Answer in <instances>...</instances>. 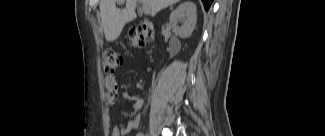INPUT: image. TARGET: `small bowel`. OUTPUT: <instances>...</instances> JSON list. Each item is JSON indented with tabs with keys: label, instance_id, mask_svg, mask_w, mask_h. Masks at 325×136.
<instances>
[{
	"label": "small bowel",
	"instance_id": "c3829d8e",
	"mask_svg": "<svg viewBox=\"0 0 325 136\" xmlns=\"http://www.w3.org/2000/svg\"><path fill=\"white\" fill-rule=\"evenodd\" d=\"M106 100L109 104H114L120 96L118 82L115 74H109L105 77ZM125 102L132 103V110L124 115L128 117L126 124L116 126L112 129V136H124L139 127L141 119V109L143 107V99L135 94L124 92L121 95Z\"/></svg>",
	"mask_w": 325,
	"mask_h": 136
}]
</instances>
